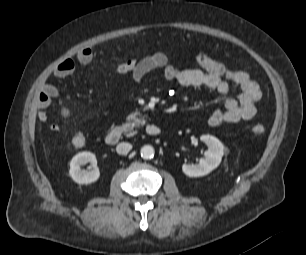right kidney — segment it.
<instances>
[{
  "mask_svg": "<svg viewBox=\"0 0 306 255\" xmlns=\"http://www.w3.org/2000/svg\"><path fill=\"white\" fill-rule=\"evenodd\" d=\"M90 162V170H82L80 165ZM69 175L78 184H91L100 176L97 160L91 152H81L75 155L70 162Z\"/></svg>",
  "mask_w": 306,
  "mask_h": 255,
  "instance_id": "ca27d5eb",
  "label": "right kidney"
}]
</instances>
